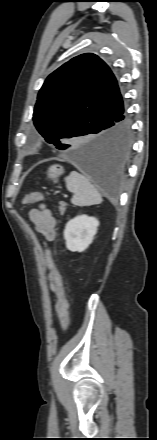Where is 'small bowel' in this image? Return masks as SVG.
Listing matches in <instances>:
<instances>
[{"instance_id": "c3829d8e", "label": "small bowel", "mask_w": 157, "mask_h": 440, "mask_svg": "<svg viewBox=\"0 0 157 440\" xmlns=\"http://www.w3.org/2000/svg\"><path fill=\"white\" fill-rule=\"evenodd\" d=\"M29 218L36 230L43 235L45 241L50 242L55 239L56 220L49 209L44 205H41L39 208H33L29 211ZM50 277L52 281L51 289L56 292L57 288L53 284L54 279L52 274H50Z\"/></svg>"}]
</instances>
